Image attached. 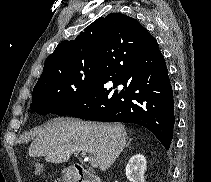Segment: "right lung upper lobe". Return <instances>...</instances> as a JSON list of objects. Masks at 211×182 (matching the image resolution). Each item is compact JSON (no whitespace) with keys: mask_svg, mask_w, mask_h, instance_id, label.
<instances>
[{"mask_svg":"<svg viewBox=\"0 0 211 182\" xmlns=\"http://www.w3.org/2000/svg\"><path fill=\"white\" fill-rule=\"evenodd\" d=\"M152 35L135 19L120 13L100 17L73 40L58 44L44 63L43 73L36 85L53 81L72 72L97 66L103 40L142 42ZM35 85V86H36Z\"/></svg>","mask_w":211,"mask_h":182,"instance_id":"1","label":"right lung upper lobe"}]
</instances>
